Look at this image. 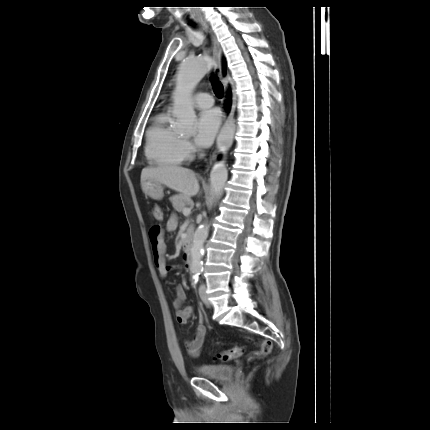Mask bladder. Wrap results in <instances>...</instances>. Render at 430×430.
<instances>
[{
  "label": "bladder",
  "instance_id": "1",
  "mask_svg": "<svg viewBox=\"0 0 430 430\" xmlns=\"http://www.w3.org/2000/svg\"><path fill=\"white\" fill-rule=\"evenodd\" d=\"M195 371L201 377L225 382L233 377L235 368L231 365L203 364L198 366Z\"/></svg>",
  "mask_w": 430,
  "mask_h": 430
}]
</instances>
